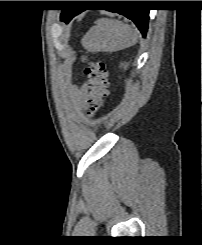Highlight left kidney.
Returning <instances> with one entry per match:
<instances>
[{
    "label": "left kidney",
    "mask_w": 202,
    "mask_h": 245,
    "mask_svg": "<svg viewBox=\"0 0 202 245\" xmlns=\"http://www.w3.org/2000/svg\"><path fill=\"white\" fill-rule=\"evenodd\" d=\"M121 67H123L125 70L127 69V67H128V64H121Z\"/></svg>",
    "instance_id": "1"
}]
</instances>
